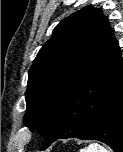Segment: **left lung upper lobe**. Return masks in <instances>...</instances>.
<instances>
[{"instance_id": "left-lung-upper-lobe-1", "label": "left lung upper lobe", "mask_w": 123, "mask_h": 152, "mask_svg": "<svg viewBox=\"0 0 123 152\" xmlns=\"http://www.w3.org/2000/svg\"><path fill=\"white\" fill-rule=\"evenodd\" d=\"M29 70L24 122L46 137L65 96L111 40L101 9L91 5L63 19L53 30Z\"/></svg>"}]
</instances>
